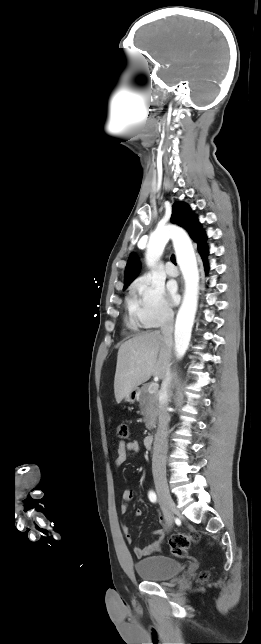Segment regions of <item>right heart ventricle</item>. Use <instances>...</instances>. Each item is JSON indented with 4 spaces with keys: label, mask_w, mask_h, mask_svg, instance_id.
<instances>
[{
    "label": "right heart ventricle",
    "mask_w": 261,
    "mask_h": 644,
    "mask_svg": "<svg viewBox=\"0 0 261 644\" xmlns=\"http://www.w3.org/2000/svg\"><path fill=\"white\" fill-rule=\"evenodd\" d=\"M128 309H129V315H130L128 323H129V325L131 327H134L136 325L137 320H136V318H135V316L133 314V302H132V300L128 301Z\"/></svg>",
    "instance_id": "e07e8e85"
}]
</instances>
